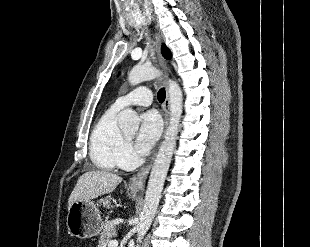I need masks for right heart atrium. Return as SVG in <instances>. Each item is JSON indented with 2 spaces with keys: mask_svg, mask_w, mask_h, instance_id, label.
Returning a JSON list of instances; mask_svg holds the SVG:
<instances>
[{
  "mask_svg": "<svg viewBox=\"0 0 310 247\" xmlns=\"http://www.w3.org/2000/svg\"><path fill=\"white\" fill-rule=\"evenodd\" d=\"M134 159V153L131 147V144L126 142L124 149H123V154H122V160H121V165L122 167L128 166L132 160Z\"/></svg>",
  "mask_w": 310,
  "mask_h": 247,
  "instance_id": "d8ad5b80",
  "label": "right heart atrium"
}]
</instances>
